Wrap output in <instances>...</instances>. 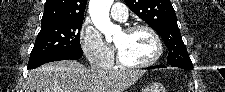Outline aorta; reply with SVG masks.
Returning <instances> with one entry per match:
<instances>
[{
    "instance_id": "1",
    "label": "aorta",
    "mask_w": 225,
    "mask_h": 92,
    "mask_svg": "<svg viewBox=\"0 0 225 92\" xmlns=\"http://www.w3.org/2000/svg\"><path fill=\"white\" fill-rule=\"evenodd\" d=\"M113 0H90L89 14L94 26L101 31L106 40H111L112 35L120 31V27L114 25L109 17V11Z\"/></svg>"
}]
</instances>
